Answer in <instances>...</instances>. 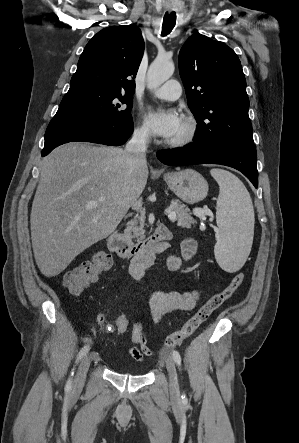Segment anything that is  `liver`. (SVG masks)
Segmentation results:
<instances>
[{
    "label": "liver",
    "instance_id": "obj_1",
    "mask_svg": "<svg viewBox=\"0 0 299 443\" xmlns=\"http://www.w3.org/2000/svg\"><path fill=\"white\" fill-rule=\"evenodd\" d=\"M147 163L122 148L73 142L42 160L30 215L36 264L46 277L117 228L142 194ZM96 201L97 206L87 207Z\"/></svg>",
    "mask_w": 299,
    "mask_h": 443
}]
</instances>
